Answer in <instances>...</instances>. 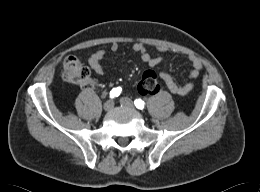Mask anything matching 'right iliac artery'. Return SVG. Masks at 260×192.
I'll list each match as a JSON object with an SVG mask.
<instances>
[{
	"label": "right iliac artery",
	"instance_id": "82829eb1",
	"mask_svg": "<svg viewBox=\"0 0 260 192\" xmlns=\"http://www.w3.org/2000/svg\"><path fill=\"white\" fill-rule=\"evenodd\" d=\"M122 92V88L121 87H116V88H113L110 92V97L111 98H116L118 97Z\"/></svg>",
	"mask_w": 260,
	"mask_h": 192
}]
</instances>
